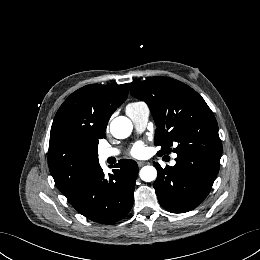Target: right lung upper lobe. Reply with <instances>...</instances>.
<instances>
[{"mask_svg":"<svg viewBox=\"0 0 260 260\" xmlns=\"http://www.w3.org/2000/svg\"><path fill=\"white\" fill-rule=\"evenodd\" d=\"M128 95V84L87 85L59 108L51 127L48 165L57 187L74 195L99 166L97 146L108 120Z\"/></svg>","mask_w":260,"mask_h":260,"instance_id":"cb5924a9","label":"right lung upper lobe"}]
</instances>
